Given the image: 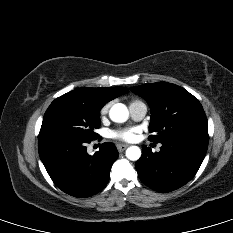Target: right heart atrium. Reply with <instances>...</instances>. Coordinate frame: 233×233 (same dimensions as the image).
I'll use <instances>...</instances> for the list:
<instances>
[{
    "instance_id": "obj_1",
    "label": "right heart atrium",
    "mask_w": 233,
    "mask_h": 233,
    "mask_svg": "<svg viewBox=\"0 0 233 233\" xmlns=\"http://www.w3.org/2000/svg\"><path fill=\"white\" fill-rule=\"evenodd\" d=\"M109 108H110V103L105 104L100 110V116L104 117L108 113Z\"/></svg>"
}]
</instances>
